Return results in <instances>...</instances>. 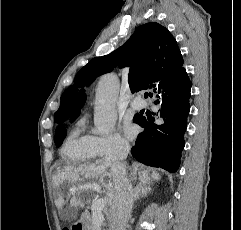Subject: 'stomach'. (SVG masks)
Wrapping results in <instances>:
<instances>
[{"instance_id":"stomach-1","label":"stomach","mask_w":241,"mask_h":230,"mask_svg":"<svg viewBox=\"0 0 241 230\" xmlns=\"http://www.w3.org/2000/svg\"><path fill=\"white\" fill-rule=\"evenodd\" d=\"M76 226L79 227L80 230H90L89 222L85 218H81L77 223Z\"/></svg>"}]
</instances>
